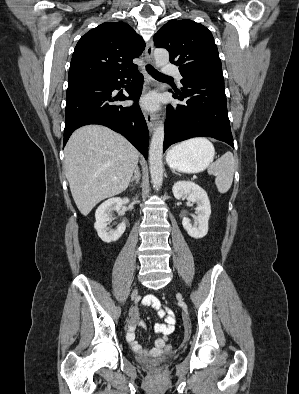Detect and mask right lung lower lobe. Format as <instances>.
<instances>
[{"instance_id":"right-lung-lower-lobe-1","label":"right lung lower lobe","mask_w":299,"mask_h":394,"mask_svg":"<svg viewBox=\"0 0 299 394\" xmlns=\"http://www.w3.org/2000/svg\"><path fill=\"white\" fill-rule=\"evenodd\" d=\"M136 69L129 73L115 76H101L68 84L66 96V117L64 146L70 135L77 128L88 124H100L121 133L147 159L148 128L144 116L137 105L142 92L143 77L136 74ZM135 75L126 88L129 96H114L113 90L120 89L126 81ZM133 100L130 107L116 105V101Z\"/></svg>"}]
</instances>
